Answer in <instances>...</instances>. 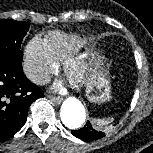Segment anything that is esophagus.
I'll return each instance as SVG.
<instances>
[{
    "label": "esophagus",
    "instance_id": "1",
    "mask_svg": "<svg viewBox=\"0 0 153 153\" xmlns=\"http://www.w3.org/2000/svg\"><path fill=\"white\" fill-rule=\"evenodd\" d=\"M48 98L56 104H60L62 102V98L61 97H56V96H50L48 95Z\"/></svg>",
    "mask_w": 153,
    "mask_h": 153
}]
</instances>
